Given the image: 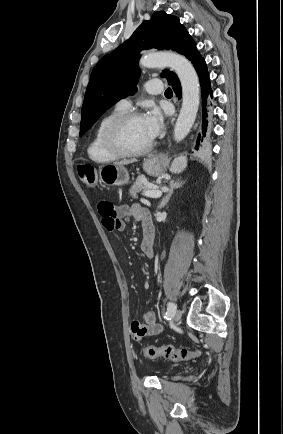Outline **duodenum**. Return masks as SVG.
<instances>
[{
    "label": "duodenum",
    "instance_id": "duodenum-1",
    "mask_svg": "<svg viewBox=\"0 0 283 434\" xmlns=\"http://www.w3.org/2000/svg\"><path fill=\"white\" fill-rule=\"evenodd\" d=\"M143 229H144V240L152 242L154 238L153 227L144 225Z\"/></svg>",
    "mask_w": 283,
    "mask_h": 434
}]
</instances>
